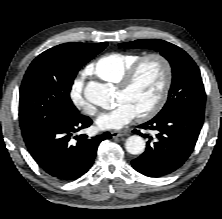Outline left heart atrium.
<instances>
[{
	"mask_svg": "<svg viewBox=\"0 0 222 219\" xmlns=\"http://www.w3.org/2000/svg\"><path fill=\"white\" fill-rule=\"evenodd\" d=\"M137 115L129 103L120 102L111 111L101 114L96 124L102 130H118L132 122Z\"/></svg>",
	"mask_w": 222,
	"mask_h": 219,
	"instance_id": "1",
	"label": "left heart atrium"
}]
</instances>
